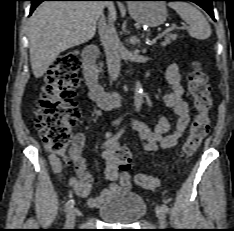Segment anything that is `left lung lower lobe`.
I'll return each instance as SVG.
<instances>
[{
  "instance_id": "left-lung-lower-lobe-1",
  "label": "left lung lower lobe",
  "mask_w": 234,
  "mask_h": 231,
  "mask_svg": "<svg viewBox=\"0 0 234 231\" xmlns=\"http://www.w3.org/2000/svg\"><path fill=\"white\" fill-rule=\"evenodd\" d=\"M164 1H191L202 7L215 20L213 15L212 1L216 0H164Z\"/></svg>"
}]
</instances>
